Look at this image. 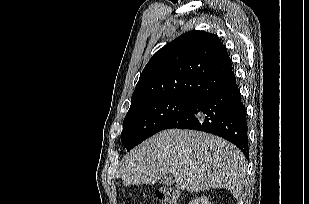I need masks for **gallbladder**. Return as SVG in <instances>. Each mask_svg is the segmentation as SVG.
I'll use <instances>...</instances> for the list:
<instances>
[{"mask_svg": "<svg viewBox=\"0 0 309 204\" xmlns=\"http://www.w3.org/2000/svg\"><path fill=\"white\" fill-rule=\"evenodd\" d=\"M162 183L166 186H171L173 184V177L171 175H165L162 178Z\"/></svg>", "mask_w": 309, "mask_h": 204, "instance_id": "gallbladder-1", "label": "gallbladder"}]
</instances>
